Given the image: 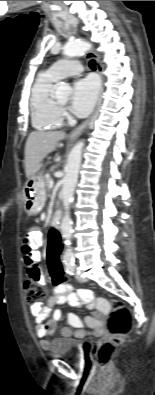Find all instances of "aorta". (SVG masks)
I'll return each mask as SVG.
<instances>
[{
  "instance_id": "762f6f07",
  "label": "aorta",
  "mask_w": 155,
  "mask_h": 395,
  "mask_svg": "<svg viewBox=\"0 0 155 395\" xmlns=\"http://www.w3.org/2000/svg\"><path fill=\"white\" fill-rule=\"evenodd\" d=\"M90 48L91 45L87 41L79 40L69 42L63 47V54L69 58H72L87 52ZM70 90L71 88L69 84L60 82L57 84L55 96L58 99L66 98L70 94ZM83 147L84 142L79 141L70 151L65 167V176L63 178V185L61 189L64 216L62 218L60 228L66 246L64 258L69 261L73 259V250L71 248L72 219L70 216V205L72 203L74 190L78 181Z\"/></svg>"
}]
</instances>
